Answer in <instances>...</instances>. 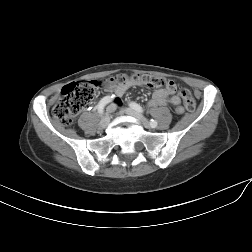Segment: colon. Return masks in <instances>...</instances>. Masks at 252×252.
<instances>
[{"label": "colon", "instance_id": "5ec220e1", "mask_svg": "<svg viewBox=\"0 0 252 252\" xmlns=\"http://www.w3.org/2000/svg\"><path fill=\"white\" fill-rule=\"evenodd\" d=\"M110 80L117 84L136 81L153 88L176 89V84L173 81L148 74H120ZM99 86L100 84L96 81H79L66 85L62 90L60 99L53 108L54 118L66 126L70 125L74 117L95 97ZM180 95L185 108L188 111H193L196 102L189 90L181 89Z\"/></svg>", "mask_w": 252, "mask_h": 252}]
</instances>
